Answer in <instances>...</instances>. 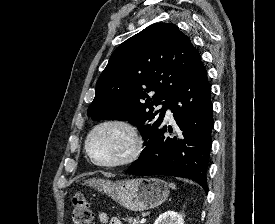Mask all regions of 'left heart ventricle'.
<instances>
[{
    "mask_svg": "<svg viewBox=\"0 0 275 224\" xmlns=\"http://www.w3.org/2000/svg\"><path fill=\"white\" fill-rule=\"evenodd\" d=\"M132 148L128 132L120 126H105L90 140L93 155L101 162H115L126 157Z\"/></svg>",
    "mask_w": 275,
    "mask_h": 224,
    "instance_id": "1",
    "label": "left heart ventricle"
}]
</instances>
